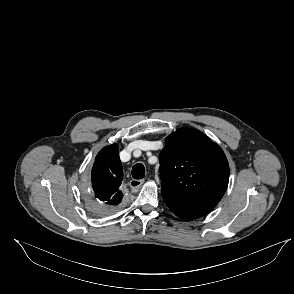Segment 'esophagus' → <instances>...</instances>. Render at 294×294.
<instances>
[{
  "label": "esophagus",
  "instance_id": "obj_1",
  "mask_svg": "<svg viewBox=\"0 0 294 294\" xmlns=\"http://www.w3.org/2000/svg\"><path fill=\"white\" fill-rule=\"evenodd\" d=\"M144 183L143 179H132L129 182V185L132 190L136 191L137 189L140 188V186Z\"/></svg>",
  "mask_w": 294,
  "mask_h": 294
}]
</instances>
